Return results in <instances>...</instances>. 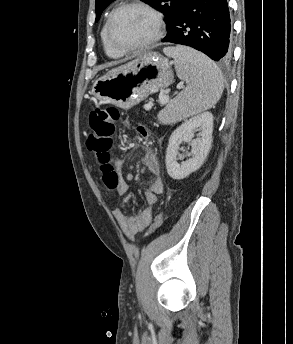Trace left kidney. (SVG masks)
<instances>
[{"instance_id":"left-kidney-1","label":"left kidney","mask_w":293,"mask_h":344,"mask_svg":"<svg viewBox=\"0 0 293 344\" xmlns=\"http://www.w3.org/2000/svg\"><path fill=\"white\" fill-rule=\"evenodd\" d=\"M197 129L200 130V133L196 139H193L194 131ZM212 132L213 115L210 112H204L186 120L174 130L169 138L165 160L167 173L171 178L184 179L201 167L212 144ZM182 142L190 143L192 157L179 163L178 159L181 157L178 149Z\"/></svg>"}]
</instances>
